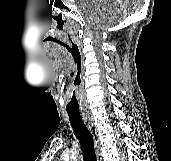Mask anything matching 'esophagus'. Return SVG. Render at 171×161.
Wrapping results in <instances>:
<instances>
[{"label": "esophagus", "mask_w": 171, "mask_h": 161, "mask_svg": "<svg viewBox=\"0 0 171 161\" xmlns=\"http://www.w3.org/2000/svg\"><path fill=\"white\" fill-rule=\"evenodd\" d=\"M82 118L84 120V123L88 126V128L92 134L97 161H102L99 134H98L96 124L94 122V118L89 112H82Z\"/></svg>", "instance_id": "esophagus-1"}]
</instances>
